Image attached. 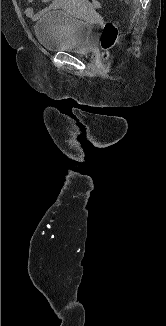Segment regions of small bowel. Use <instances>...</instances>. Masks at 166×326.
Here are the masks:
<instances>
[{"mask_svg":"<svg viewBox=\"0 0 166 326\" xmlns=\"http://www.w3.org/2000/svg\"><path fill=\"white\" fill-rule=\"evenodd\" d=\"M28 3H33L35 0H26ZM41 2L48 3L46 10L35 11L32 7H27L25 9V16L33 21L38 20L45 11L62 9L70 4H76V0H41Z\"/></svg>","mask_w":166,"mask_h":326,"instance_id":"obj_1","label":"small bowel"}]
</instances>
